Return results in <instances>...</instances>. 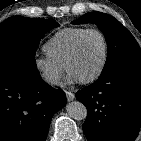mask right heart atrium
<instances>
[{"label": "right heart atrium", "mask_w": 141, "mask_h": 141, "mask_svg": "<svg viewBox=\"0 0 141 141\" xmlns=\"http://www.w3.org/2000/svg\"><path fill=\"white\" fill-rule=\"evenodd\" d=\"M33 62L36 71L46 84L55 86L60 82L64 74L63 65L58 64L48 55H37Z\"/></svg>", "instance_id": "obj_1"}]
</instances>
